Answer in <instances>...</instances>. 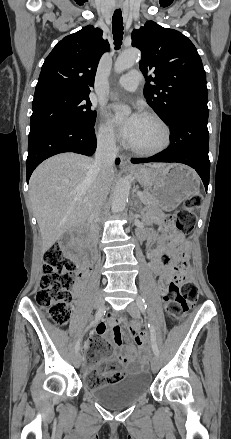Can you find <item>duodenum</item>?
<instances>
[{"label":"duodenum","mask_w":231,"mask_h":439,"mask_svg":"<svg viewBox=\"0 0 231 439\" xmlns=\"http://www.w3.org/2000/svg\"><path fill=\"white\" fill-rule=\"evenodd\" d=\"M86 231H87V228H85V227H78V228H76V229L73 230V232H72L71 235H72V236H78V235H81V234L85 233ZM88 248H91V246L89 245ZM90 262H91V260H88V261L83 265V267H86L87 270H89V269H90V266H89Z\"/></svg>","instance_id":"410a0bca"}]
</instances>
